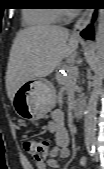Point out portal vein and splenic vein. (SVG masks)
<instances>
[{"mask_svg": "<svg viewBox=\"0 0 104 169\" xmlns=\"http://www.w3.org/2000/svg\"><path fill=\"white\" fill-rule=\"evenodd\" d=\"M70 73L73 75V76H76L78 75V68L76 66H73L70 68Z\"/></svg>", "mask_w": 104, "mask_h": 169, "instance_id": "obj_1", "label": "portal vein and splenic vein"}]
</instances>
